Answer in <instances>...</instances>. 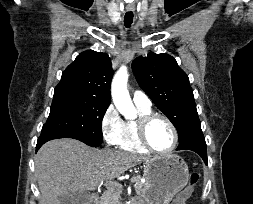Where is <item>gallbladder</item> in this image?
<instances>
[{
  "mask_svg": "<svg viewBox=\"0 0 253 204\" xmlns=\"http://www.w3.org/2000/svg\"><path fill=\"white\" fill-rule=\"evenodd\" d=\"M89 193L87 191L79 193H68L59 197L60 204H86L89 200Z\"/></svg>",
  "mask_w": 253,
  "mask_h": 204,
  "instance_id": "obj_1",
  "label": "gallbladder"
}]
</instances>
